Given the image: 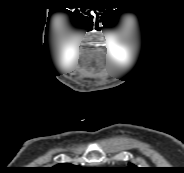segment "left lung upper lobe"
Masks as SVG:
<instances>
[{
	"mask_svg": "<svg viewBox=\"0 0 184 173\" xmlns=\"http://www.w3.org/2000/svg\"><path fill=\"white\" fill-rule=\"evenodd\" d=\"M130 165V167H129V169H131V170H137L138 168L135 166V165H133V164H129Z\"/></svg>",
	"mask_w": 184,
	"mask_h": 173,
	"instance_id": "left-lung-upper-lobe-1",
	"label": "left lung upper lobe"
}]
</instances>
